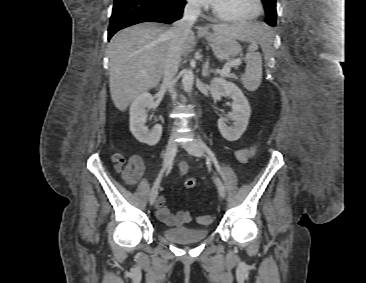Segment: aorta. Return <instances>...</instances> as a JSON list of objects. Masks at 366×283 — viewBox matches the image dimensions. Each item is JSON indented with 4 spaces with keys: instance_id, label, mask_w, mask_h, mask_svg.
I'll use <instances>...</instances> for the list:
<instances>
[{
    "instance_id": "aorta-1",
    "label": "aorta",
    "mask_w": 366,
    "mask_h": 283,
    "mask_svg": "<svg viewBox=\"0 0 366 283\" xmlns=\"http://www.w3.org/2000/svg\"><path fill=\"white\" fill-rule=\"evenodd\" d=\"M194 83V74L191 69H187L184 71L182 77V85L186 92H191Z\"/></svg>"
}]
</instances>
